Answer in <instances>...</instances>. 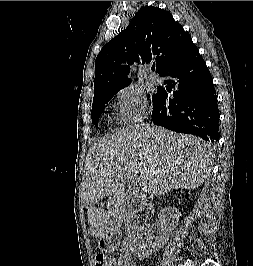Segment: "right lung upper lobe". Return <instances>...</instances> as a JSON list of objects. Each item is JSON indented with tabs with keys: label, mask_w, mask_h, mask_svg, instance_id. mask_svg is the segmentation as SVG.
I'll use <instances>...</instances> for the list:
<instances>
[{
	"label": "right lung upper lobe",
	"mask_w": 253,
	"mask_h": 266,
	"mask_svg": "<svg viewBox=\"0 0 253 266\" xmlns=\"http://www.w3.org/2000/svg\"><path fill=\"white\" fill-rule=\"evenodd\" d=\"M191 36L166 10L141 8L128 27L109 41L95 61L94 98L118 92L130 85V65L154 60L162 75L184 60L194 49Z\"/></svg>",
	"instance_id": "1"
}]
</instances>
